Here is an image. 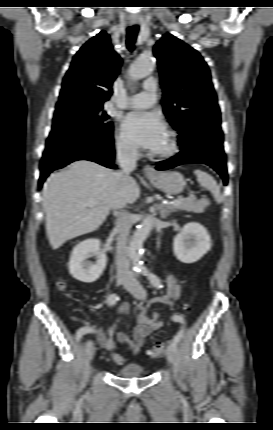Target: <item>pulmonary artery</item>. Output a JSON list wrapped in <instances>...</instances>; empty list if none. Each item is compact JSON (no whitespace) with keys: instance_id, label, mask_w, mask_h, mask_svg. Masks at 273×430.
<instances>
[{"instance_id":"obj_1","label":"pulmonary artery","mask_w":273,"mask_h":430,"mask_svg":"<svg viewBox=\"0 0 273 430\" xmlns=\"http://www.w3.org/2000/svg\"><path fill=\"white\" fill-rule=\"evenodd\" d=\"M144 90L128 99L126 107L145 109L152 107L157 101V83L154 78H149L144 82Z\"/></svg>"}]
</instances>
